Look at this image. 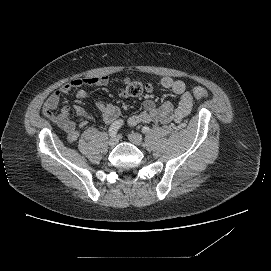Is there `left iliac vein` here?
Segmentation results:
<instances>
[{"mask_svg":"<svg viewBox=\"0 0 271 271\" xmlns=\"http://www.w3.org/2000/svg\"><path fill=\"white\" fill-rule=\"evenodd\" d=\"M128 138L130 142H132L133 144L137 146L141 145L143 142L142 136L139 133L132 132L128 135Z\"/></svg>","mask_w":271,"mask_h":271,"instance_id":"obj_1","label":"left iliac vein"}]
</instances>
